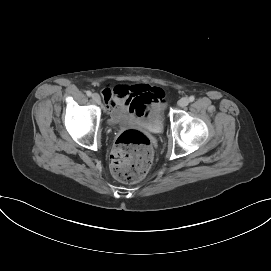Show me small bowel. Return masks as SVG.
<instances>
[{"label": "small bowel", "instance_id": "1", "mask_svg": "<svg viewBox=\"0 0 271 271\" xmlns=\"http://www.w3.org/2000/svg\"><path fill=\"white\" fill-rule=\"evenodd\" d=\"M101 93L113 122L118 120L120 114L145 118L150 113L160 110L164 99V91L161 88L148 84H136L131 87L106 86Z\"/></svg>", "mask_w": 271, "mask_h": 271}]
</instances>
